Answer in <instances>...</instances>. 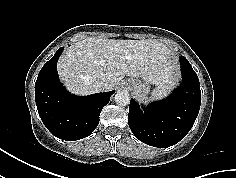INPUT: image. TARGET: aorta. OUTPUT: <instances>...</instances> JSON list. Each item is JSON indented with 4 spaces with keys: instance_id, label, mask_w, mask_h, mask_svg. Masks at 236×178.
<instances>
[{
    "instance_id": "obj_1",
    "label": "aorta",
    "mask_w": 236,
    "mask_h": 178,
    "mask_svg": "<svg viewBox=\"0 0 236 178\" xmlns=\"http://www.w3.org/2000/svg\"><path fill=\"white\" fill-rule=\"evenodd\" d=\"M114 99L119 106H126L130 103V96L127 91H118Z\"/></svg>"
}]
</instances>
